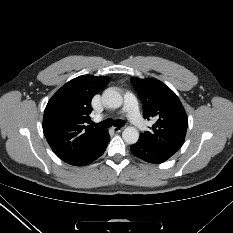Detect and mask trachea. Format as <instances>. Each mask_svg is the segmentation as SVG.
Returning <instances> with one entry per match:
<instances>
[{
	"label": "trachea",
	"instance_id": "obj_1",
	"mask_svg": "<svg viewBox=\"0 0 233 233\" xmlns=\"http://www.w3.org/2000/svg\"><path fill=\"white\" fill-rule=\"evenodd\" d=\"M114 124L116 127H123L125 125V122L122 120H115L113 122L112 119H106L100 123H93L91 122V126L93 127H100V128H109Z\"/></svg>",
	"mask_w": 233,
	"mask_h": 233
}]
</instances>
